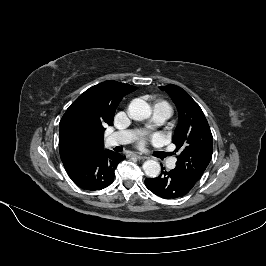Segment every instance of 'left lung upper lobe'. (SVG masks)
<instances>
[{"mask_svg":"<svg viewBox=\"0 0 266 266\" xmlns=\"http://www.w3.org/2000/svg\"><path fill=\"white\" fill-rule=\"evenodd\" d=\"M172 98L179 112V123L172 138L177 156L175 171L195 185L208 166L213 149V137L200 106L179 86L159 87Z\"/></svg>","mask_w":266,"mask_h":266,"instance_id":"5c2ea615","label":"left lung upper lobe"}]
</instances>
